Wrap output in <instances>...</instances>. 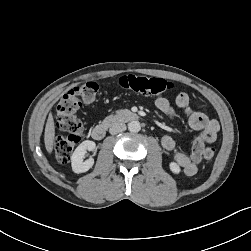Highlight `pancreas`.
<instances>
[{
  "mask_svg": "<svg viewBox=\"0 0 251 251\" xmlns=\"http://www.w3.org/2000/svg\"><path fill=\"white\" fill-rule=\"evenodd\" d=\"M118 115H109L103 120V125H110L117 120Z\"/></svg>",
  "mask_w": 251,
  "mask_h": 251,
  "instance_id": "obj_1",
  "label": "pancreas"
}]
</instances>
